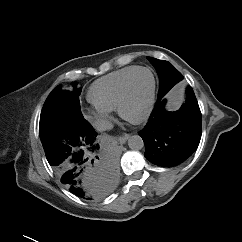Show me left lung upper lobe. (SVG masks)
Returning a JSON list of instances; mask_svg holds the SVG:
<instances>
[{
  "label": "left lung upper lobe",
  "instance_id": "1",
  "mask_svg": "<svg viewBox=\"0 0 242 242\" xmlns=\"http://www.w3.org/2000/svg\"><path fill=\"white\" fill-rule=\"evenodd\" d=\"M150 63L155 67L159 80L160 87L158 98H164L169 90L179 81L183 79L182 74L168 61L158 60L155 58L147 57Z\"/></svg>",
  "mask_w": 242,
  "mask_h": 242
}]
</instances>
